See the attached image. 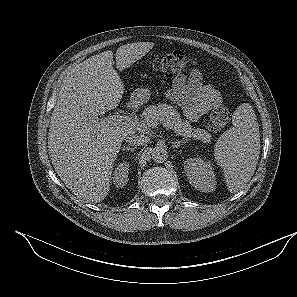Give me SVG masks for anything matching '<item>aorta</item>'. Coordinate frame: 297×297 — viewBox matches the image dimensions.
I'll list each match as a JSON object with an SVG mask.
<instances>
[{
  "mask_svg": "<svg viewBox=\"0 0 297 297\" xmlns=\"http://www.w3.org/2000/svg\"><path fill=\"white\" fill-rule=\"evenodd\" d=\"M151 155H152V159L156 163H163L168 158V152H167V149L165 147H155L152 150Z\"/></svg>",
  "mask_w": 297,
  "mask_h": 297,
  "instance_id": "obj_1",
  "label": "aorta"
}]
</instances>
